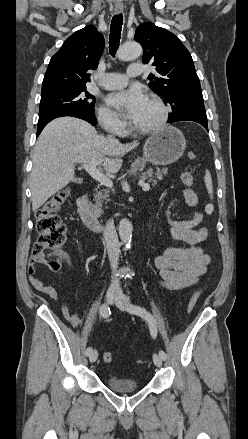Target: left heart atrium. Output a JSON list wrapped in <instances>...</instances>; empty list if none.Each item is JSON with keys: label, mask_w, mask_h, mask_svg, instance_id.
<instances>
[{"label": "left heart atrium", "mask_w": 248, "mask_h": 439, "mask_svg": "<svg viewBox=\"0 0 248 439\" xmlns=\"http://www.w3.org/2000/svg\"><path fill=\"white\" fill-rule=\"evenodd\" d=\"M108 103L124 112L130 120H135L146 104L147 97L141 89L133 87L112 93L107 98Z\"/></svg>", "instance_id": "left-heart-atrium-1"}]
</instances>
